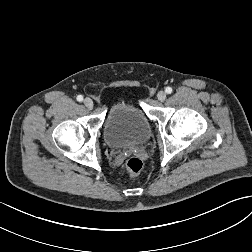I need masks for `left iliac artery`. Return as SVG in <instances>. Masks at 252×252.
I'll return each mask as SVG.
<instances>
[{"label":"left iliac artery","mask_w":252,"mask_h":252,"mask_svg":"<svg viewBox=\"0 0 252 252\" xmlns=\"http://www.w3.org/2000/svg\"><path fill=\"white\" fill-rule=\"evenodd\" d=\"M165 92H166L167 94L172 93V88H171V87H166Z\"/></svg>","instance_id":"44dca946"}]
</instances>
